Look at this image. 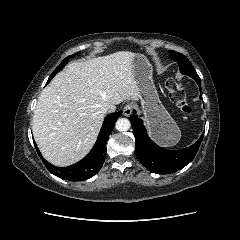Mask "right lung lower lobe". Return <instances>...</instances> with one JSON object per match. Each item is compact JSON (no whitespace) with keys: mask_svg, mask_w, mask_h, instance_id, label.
<instances>
[{"mask_svg":"<svg viewBox=\"0 0 240 240\" xmlns=\"http://www.w3.org/2000/svg\"><path fill=\"white\" fill-rule=\"evenodd\" d=\"M50 82V81H49ZM47 82V84L49 83ZM122 111L109 114L102 125L98 139L90 153L78 163L68 167H55L43 159L38 147H35L38 155L43 160L47 169L54 175L70 181H81L93 177L103 166L106 157V143L110 133L114 128L116 120L120 117Z\"/></svg>","mask_w":240,"mask_h":240,"instance_id":"right-lung-lower-lobe-1","label":"right lung lower lobe"}]
</instances>
